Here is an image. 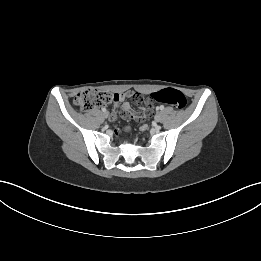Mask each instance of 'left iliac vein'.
I'll list each match as a JSON object with an SVG mask.
<instances>
[{"label": "left iliac vein", "instance_id": "1", "mask_svg": "<svg viewBox=\"0 0 261 261\" xmlns=\"http://www.w3.org/2000/svg\"><path fill=\"white\" fill-rule=\"evenodd\" d=\"M161 120H162V115H161V113H157V114L155 115V121H156V122H161Z\"/></svg>", "mask_w": 261, "mask_h": 261}]
</instances>
